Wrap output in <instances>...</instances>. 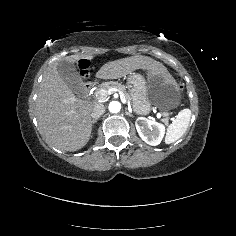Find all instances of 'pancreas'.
I'll return each mask as SVG.
<instances>
[{"mask_svg":"<svg viewBox=\"0 0 236 236\" xmlns=\"http://www.w3.org/2000/svg\"><path fill=\"white\" fill-rule=\"evenodd\" d=\"M110 88H114V89H116L117 91H119L120 93H122V94L124 95L125 100L128 102V104H131L132 99H131V97H130V94H129V93L127 92V90L125 89V86L122 85V84H120V83H118V82H113V81H111V82H105V83L101 84L100 87H98V88L96 89L95 94L97 95V92H98L100 89H106V90H108V89H110ZM169 115H170L169 112H165V116H166V117H165L164 120H163L164 122H166V123L169 122Z\"/></svg>","mask_w":236,"mask_h":236,"instance_id":"cf45deb5","label":"pancreas"}]
</instances>
